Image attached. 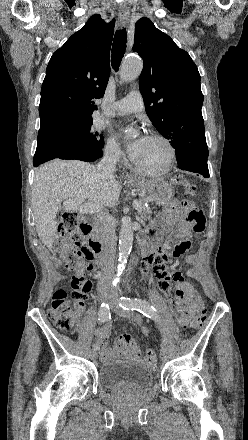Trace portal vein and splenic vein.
I'll use <instances>...</instances> for the list:
<instances>
[{
  "label": "portal vein and splenic vein",
  "instance_id": "1",
  "mask_svg": "<svg viewBox=\"0 0 248 440\" xmlns=\"http://www.w3.org/2000/svg\"><path fill=\"white\" fill-rule=\"evenodd\" d=\"M84 200L85 197L79 199H68L63 202V205L67 210H78L80 213H85V214L93 213L95 211L100 210L99 207H96L93 204L90 203L83 204ZM133 207L138 211L142 210V204L137 200L133 201Z\"/></svg>",
  "mask_w": 248,
  "mask_h": 440
}]
</instances>
